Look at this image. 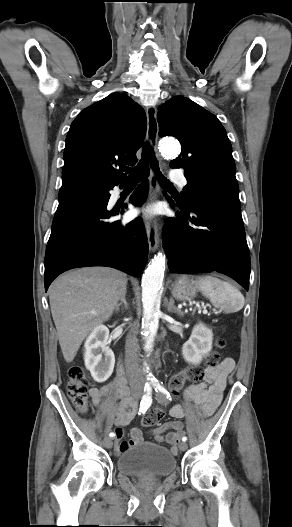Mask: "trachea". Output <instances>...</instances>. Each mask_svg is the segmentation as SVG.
<instances>
[{"instance_id": "trachea-1", "label": "trachea", "mask_w": 292, "mask_h": 527, "mask_svg": "<svg viewBox=\"0 0 292 527\" xmlns=\"http://www.w3.org/2000/svg\"><path fill=\"white\" fill-rule=\"evenodd\" d=\"M154 168L156 174H157V177L158 179L160 180L161 184L164 185V186H170L171 183L169 182V180H167V178H165L161 172L159 171V167H158V162L154 156V152L151 148V146L149 144H145L143 146V151H142V157H141V161L139 162L138 164V167L134 170V171H131V175L129 176V179L132 180V181H138L140 180V177H139V169L142 168L143 166L149 164Z\"/></svg>"}]
</instances>
